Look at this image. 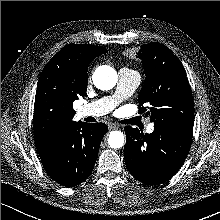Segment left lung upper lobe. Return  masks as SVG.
<instances>
[{
  "label": "left lung upper lobe",
  "instance_id": "left-lung-upper-lobe-1",
  "mask_svg": "<svg viewBox=\"0 0 220 220\" xmlns=\"http://www.w3.org/2000/svg\"><path fill=\"white\" fill-rule=\"evenodd\" d=\"M138 57L145 69L144 85L139 93V112L146 111L154 126L175 123L193 129L194 105L186 71L165 45L152 42L141 46Z\"/></svg>",
  "mask_w": 220,
  "mask_h": 220
}]
</instances>
